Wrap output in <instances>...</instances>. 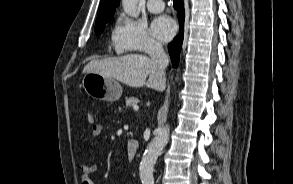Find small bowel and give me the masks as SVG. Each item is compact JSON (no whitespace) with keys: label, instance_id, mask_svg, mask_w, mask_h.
Masks as SVG:
<instances>
[{"label":"small bowel","instance_id":"small-bowel-1","mask_svg":"<svg viewBox=\"0 0 293 184\" xmlns=\"http://www.w3.org/2000/svg\"><path fill=\"white\" fill-rule=\"evenodd\" d=\"M103 132V126L98 123L92 125V137L97 138ZM98 169L96 164H80V181L81 184H94L93 180L90 178V175Z\"/></svg>","mask_w":293,"mask_h":184}]
</instances>
